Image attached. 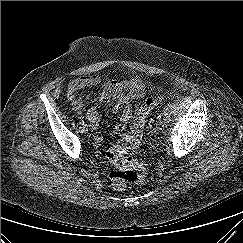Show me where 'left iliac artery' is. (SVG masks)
Returning a JSON list of instances; mask_svg holds the SVG:
<instances>
[{
	"label": "left iliac artery",
	"mask_w": 243,
	"mask_h": 243,
	"mask_svg": "<svg viewBox=\"0 0 243 243\" xmlns=\"http://www.w3.org/2000/svg\"><path fill=\"white\" fill-rule=\"evenodd\" d=\"M157 119L160 121L161 120V115H158Z\"/></svg>",
	"instance_id": "44dca946"
}]
</instances>
